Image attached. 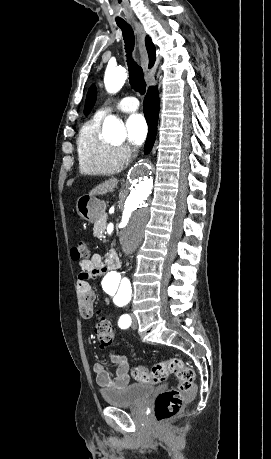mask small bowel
I'll list each match as a JSON object with an SVG mask.
<instances>
[{"mask_svg": "<svg viewBox=\"0 0 271 459\" xmlns=\"http://www.w3.org/2000/svg\"><path fill=\"white\" fill-rule=\"evenodd\" d=\"M78 266L81 270L77 280L80 312L84 319H89L93 315V302L96 297L89 281L99 278L105 273L106 268L99 254L80 260ZM110 360L115 368L114 377L109 374L103 364H94L93 369L96 374L97 384L102 388H123L127 386L130 381V368L126 357L118 352H112Z\"/></svg>", "mask_w": 271, "mask_h": 459, "instance_id": "c3829d8e", "label": "small bowel"}]
</instances>
